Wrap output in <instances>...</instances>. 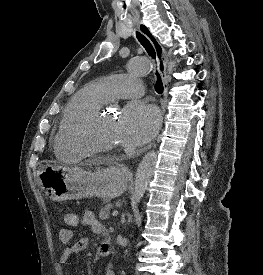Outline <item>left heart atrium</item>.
Listing matches in <instances>:
<instances>
[{"label": "left heart atrium", "instance_id": "left-heart-atrium-1", "mask_svg": "<svg viewBox=\"0 0 263 275\" xmlns=\"http://www.w3.org/2000/svg\"><path fill=\"white\" fill-rule=\"evenodd\" d=\"M160 120V113L154 105L143 101L130 102L118 120L121 141L129 146L146 143L156 134Z\"/></svg>", "mask_w": 263, "mask_h": 275}]
</instances>
